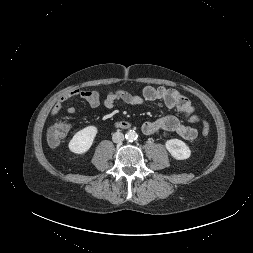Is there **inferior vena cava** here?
Listing matches in <instances>:
<instances>
[{
	"label": "inferior vena cava",
	"instance_id": "602c4592",
	"mask_svg": "<svg viewBox=\"0 0 253 253\" xmlns=\"http://www.w3.org/2000/svg\"><path fill=\"white\" fill-rule=\"evenodd\" d=\"M114 143H121L124 140V134L121 132H115L112 136Z\"/></svg>",
	"mask_w": 253,
	"mask_h": 253
}]
</instances>
